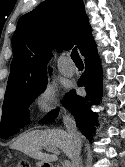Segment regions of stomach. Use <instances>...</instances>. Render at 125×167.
I'll list each match as a JSON object with an SVG mask.
<instances>
[{
	"instance_id": "1",
	"label": "stomach",
	"mask_w": 125,
	"mask_h": 167,
	"mask_svg": "<svg viewBox=\"0 0 125 167\" xmlns=\"http://www.w3.org/2000/svg\"><path fill=\"white\" fill-rule=\"evenodd\" d=\"M37 167H45V163L44 162H38Z\"/></svg>"
}]
</instances>
